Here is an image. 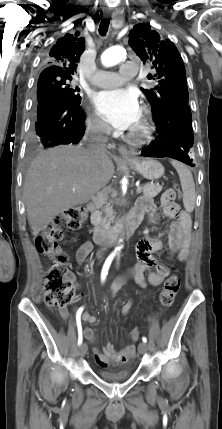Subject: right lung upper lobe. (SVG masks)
<instances>
[{"label":"right lung upper lobe","instance_id":"1","mask_svg":"<svg viewBox=\"0 0 222 429\" xmlns=\"http://www.w3.org/2000/svg\"><path fill=\"white\" fill-rule=\"evenodd\" d=\"M85 39L79 33H67L59 38L47 54L48 67L40 76H66L76 71V63L85 50Z\"/></svg>","mask_w":222,"mask_h":429}]
</instances>
